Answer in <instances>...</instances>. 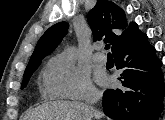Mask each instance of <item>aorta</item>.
<instances>
[{
  "label": "aorta",
  "mask_w": 165,
  "mask_h": 120,
  "mask_svg": "<svg viewBox=\"0 0 165 120\" xmlns=\"http://www.w3.org/2000/svg\"><path fill=\"white\" fill-rule=\"evenodd\" d=\"M67 58H75L77 56V49L75 47H69L64 52Z\"/></svg>",
  "instance_id": "aorta-1"
}]
</instances>
